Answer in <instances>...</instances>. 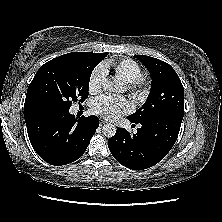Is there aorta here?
<instances>
[{
    "instance_id": "1",
    "label": "aorta",
    "mask_w": 222,
    "mask_h": 222,
    "mask_svg": "<svg viewBox=\"0 0 222 222\" xmlns=\"http://www.w3.org/2000/svg\"><path fill=\"white\" fill-rule=\"evenodd\" d=\"M103 89L105 91H109V92H118V91H120V86L116 81L107 80L103 83ZM102 133L108 138L113 137L116 133L115 125H113L111 123L105 124L102 127Z\"/></svg>"
}]
</instances>
